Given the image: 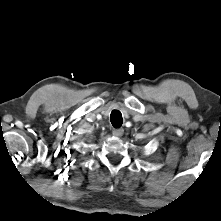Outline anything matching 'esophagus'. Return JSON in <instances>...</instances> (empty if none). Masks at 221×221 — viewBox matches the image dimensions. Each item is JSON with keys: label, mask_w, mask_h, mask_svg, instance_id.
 <instances>
[{"label": "esophagus", "mask_w": 221, "mask_h": 221, "mask_svg": "<svg viewBox=\"0 0 221 221\" xmlns=\"http://www.w3.org/2000/svg\"><path fill=\"white\" fill-rule=\"evenodd\" d=\"M112 133H113L114 136L120 137V136L123 135L124 129L116 128V129H113Z\"/></svg>", "instance_id": "1"}]
</instances>
